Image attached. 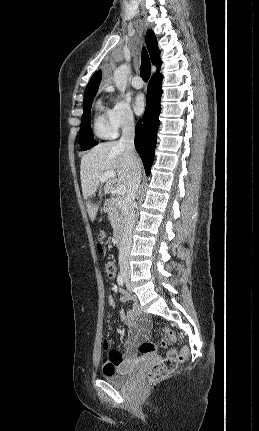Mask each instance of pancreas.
I'll return each instance as SVG.
<instances>
[{"label": "pancreas", "instance_id": "obj_1", "mask_svg": "<svg viewBox=\"0 0 259 431\" xmlns=\"http://www.w3.org/2000/svg\"><path fill=\"white\" fill-rule=\"evenodd\" d=\"M108 219L117 235L124 223V207L121 199H113L108 207Z\"/></svg>", "mask_w": 259, "mask_h": 431}]
</instances>
